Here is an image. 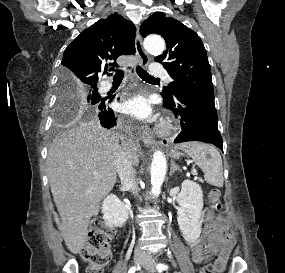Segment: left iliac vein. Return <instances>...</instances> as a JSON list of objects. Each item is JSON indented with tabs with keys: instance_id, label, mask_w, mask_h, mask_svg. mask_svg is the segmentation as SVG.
Instances as JSON below:
<instances>
[{
	"instance_id": "left-iliac-vein-1",
	"label": "left iliac vein",
	"mask_w": 285,
	"mask_h": 273,
	"mask_svg": "<svg viewBox=\"0 0 285 273\" xmlns=\"http://www.w3.org/2000/svg\"><path fill=\"white\" fill-rule=\"evenodd\" d=\"M142 266L144 267V269H146L150 273L156 272L155 266L151 258L149 257V255L145 256L144 260L142 261Z\"/></svg>"
}]
</instances>
